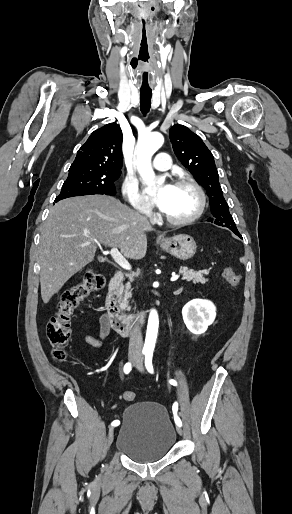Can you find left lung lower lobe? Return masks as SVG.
<instances>
[{"instance_id":"obj_1","label":"left lung lower lobe","mask_w":292,"mask_h":514,"mask_svg":"<svg viewBox=\"0 0 292 514\" xmlns=\"http://www.w3.org/2000/svg\"><path fill=\"white\" fill-rule=\"evenodd\" d=\"M235 234H236L237 236H239V237L242 239V236L240 235V233H239V232H237V233L235 232Z\"/></svg>"}]
</instances>
